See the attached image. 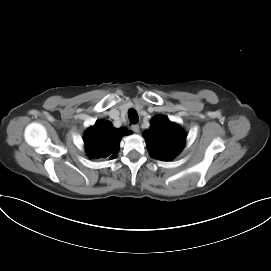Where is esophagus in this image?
<instances>
[{"mask_svg":"<svg viewBox=\"0 0 271 271\" xmlns=\"http://www.w3.org/2000/svg\"><path fill=\"white\" fill-rule=\"evenodd\" d=\"M132 130L135 132V133H138L139 132V125L138 124H134L132 125Z\"/></svg>","mask_w":271,"mask_h":271,"instance_id":"1","label":"esophagus"}]
</instances>
